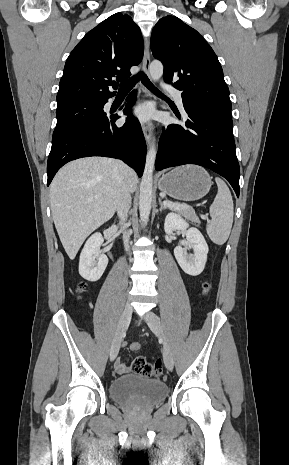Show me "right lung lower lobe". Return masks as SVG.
<instances>
[{
	"label": "right lung lower lobe",
	"instance_id": "98d812e1",
	"mask_svg": "<svg viewBox=\"0 0 289 465\" xmlns=\"http://www.w3.org/2000/svg\"><path fill=\"white\" fill-rule=\"evenodd\" d=\"M135 97V92H132L127 98L129 103L123 110L125 113L130 111ZM118 118V115L105 114L54 137L47 162V186L64 164L88 156L119 158L132 167L139 177L142 176L146 143L140 123L133 116H128L125 124L117 127L115 121Z\"/></svg>",
	"mask_w": 289,
	"mask_h": 465
}]
</instances>
